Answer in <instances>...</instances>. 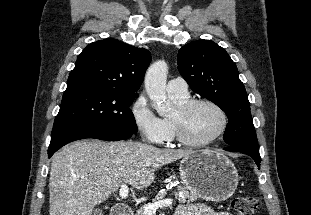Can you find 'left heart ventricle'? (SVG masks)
<instances>
[{
    "instance_id": "left-heart-ventricle-1",
    "label": "left heart ventricle",
    "mask_w": 311,
    "mask_h": 215,
    "mask_svg": "<svg viewBox=\"0 0 311 215\" xmlns=\"http://www.w3.org/2000/svg\"><path fill=\"white\" fill-rule=\"evenodd\" d=\"M175 116L176 111L172 117ZM220 124V114L206 104L195 106L185 118L187 135L194 141H203L211 137L219 129Z\"/></svg>"
}]
</instances>
